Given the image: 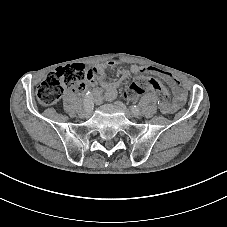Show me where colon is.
<instances>
[{"label":"colon","mask_w":227,"mask_h":227,"mask_svg":"<svg viewBox=\"0 0 227 227\" xmlns=\"http://www.w3.org/2000/svg\"><path fill=\"white\" fill-rule=\"evenodd\" d=\"M86 79L85 67L82 64H71L57 68L51 72L38 86L37 99L45 106L53 105L61 98L66 90L80 92ZM146 91H152L158 96L160 104L169 101L167 89L157 80L149 77L137 78L125 92L133 98Z\"/></svg>","instance_id":"1"}]
</instances>
